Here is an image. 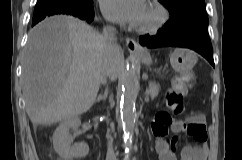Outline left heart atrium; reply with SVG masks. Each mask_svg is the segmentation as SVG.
Masks as SVG:
<instances>
[{
	"instance_id": "left-heart-atrium-1",
	"label": "left heart atrium",
	"mask_w": 242,
	"mask_h": 160,
	"mask_svg": "<svg viewBox=\"0 0 242 160\" xmlns=\"http://www.w3.org/2000/svg\"><path fill=\"white\" fill-rule=\"evenodd\" d=\"M145 0H101V9L111 21L137 26L143 14Z\"/></svg>"
}]
</instances>
